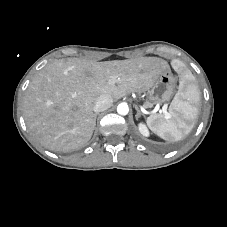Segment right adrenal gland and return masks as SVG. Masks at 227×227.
<instances>
[{
    "label": "right adrenal gland",
    "mask_w": 227,
    "mask_h": 227,
    "mask_svg": "<svg viewBox=\"0 0 227 227\" xmlns=\"http://www.w3.org/2000/svg\"><path fill=\"white\" fill-rule=\"evenodd\" d=\"M98 114H99V113H95V115H94V116H95V120H96V118H97Z\"/></svg>",
    "instance_id": "2a0ac1e0"
}]
</instances>
